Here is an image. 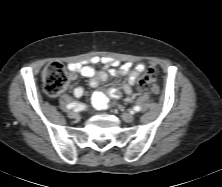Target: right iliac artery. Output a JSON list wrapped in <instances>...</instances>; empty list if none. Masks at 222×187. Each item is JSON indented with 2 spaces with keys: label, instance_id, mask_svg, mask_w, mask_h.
<instances>
[{
  "label": "right iliac artery",
  "instance_id": "right-iliac-artery-1",
  "mask_svg": "<svg viewBox=\"0 0 222 187\" xmlns=\"http://www.w3.org/2000/svg\"><path fill=\"white\" fill-rule=\"evenodd\" d=\"M78 107L79 110L84 109L86 106L84 104H80L78 102H73L67 105V109H72Z\"/></svg>",
  "mask_w": 222,
  "mask_h": 187
}]
</instances>
